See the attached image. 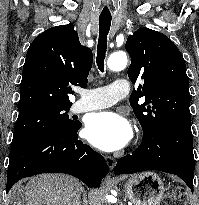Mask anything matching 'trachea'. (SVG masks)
<instances>
[{
    "instance_id": "1",
    "label": "trachea",
    "mask_w": 199,
    "mask_h": 205,
    "mask_svg": "<svg viewBox=\"0 0 199 205\" xmlns=\"http://www.w3.org/2000/svg\"><path fill=\"white\" fill-rule=\"evenodd\" d=\"M111 17H99V38L97 45L96 63L101 72H104V60L107 49V35L111 26Z\"/></svg>"
}]
</instances>
